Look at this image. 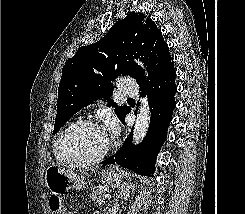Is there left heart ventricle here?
Here are the masks:
<instances>
[{"label":"left heart ventricle","mask_w":245,"mask_h":214,"mask_svg":"<svg viewBox=\"0 0 245 214\" xmlns=\"http://www.w3.org/2000/svg\"><path fill=\"white\" fill-rule=\"evenodd\" d=\"M109 143L110 140L102 128L83 126L70 134L64 151L73 157L90 158L103 152Z\"/></svg>","instance_id":"left-heart-ventricle-1"}]
</instances>
